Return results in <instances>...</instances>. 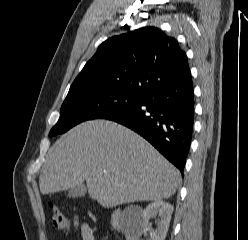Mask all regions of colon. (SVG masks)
Returning <instances> with one entry per match:
<instances>
[{
    "instance_id": "obj_1",
    "label": "colon",
    "mask_w": 248,
    "mask_h": 240,
    "mask_svg": "<svg viewBox=\"0 0 248 240\" xmlns=\"http://www.w3.org/2000/svg\"><path fill=\"white\" fill-rule=\"evenodd\" d=\"M49 212L51 215L53 226L60 231H68L70 222L67 216L54 204H49Z\"/></svg>"
}]
</instances>
